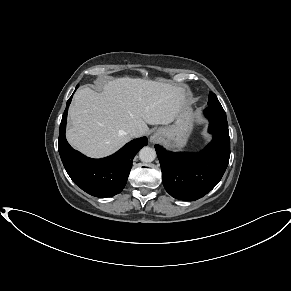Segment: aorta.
Here are the masks:
<instances>
[{"label": "aorta", "mask_w": 291, "mask_h": 291, "mask_svg": "<svg viewBox=\"0 0 291 291\" xmlns=\"http://www.w3.org/2000/svg\"><path fill=\"white\" fill-rule=\"evenodd\" d=\"M139 158L142 162H152L156 158V151L150 147H144L139 152Z\"/></svg>", "instance_id": "1"}]
</instances>
